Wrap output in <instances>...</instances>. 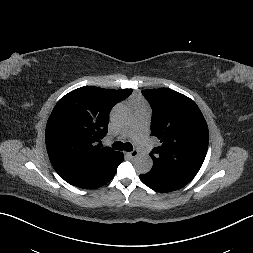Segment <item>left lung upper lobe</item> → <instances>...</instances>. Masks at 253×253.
<instances>
[{
	"label": "left lung upper lobe",
	"mask_w": 253,
	"mask_h": 253,
	"mask_svg": "<svg viewBox=\"0 0 253 253\" xmlns=\"http://www.w3.org/2000/svg\"><path fill=\"white\" fill-rule=\"evenodd\" d=\"M153 114L151 133L161 145L150 154L154 171L193 179L208 149L207 123L197 104L176 91L160 88L143 90Z\"/></svg>",
	"instance_id": "5c2ea615"
}]
</instances>
